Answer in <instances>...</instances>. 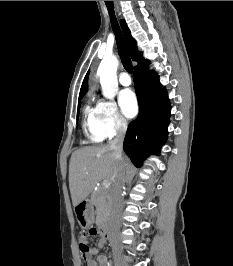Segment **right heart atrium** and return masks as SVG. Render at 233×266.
Masks as SVG:
<instances>
[{"instance_id":"right-heart-atrium-1","label":"right heart atrium","mask_w":233,"mask_h":266,"mask_svg":"<svg viewBox=\"0 0 233 266\" xmlns=\"http://www.w3.org/2000/svg\"><path fill=\"white\" fill-rule=\"evenodd\" d=\"M98 108L97 129L103 138H113L127 130V120L120 114L113 101H102L98 104Z\"/></svg>"}]
</instances>
